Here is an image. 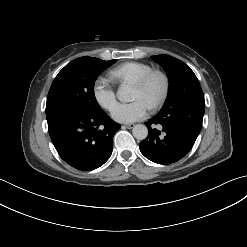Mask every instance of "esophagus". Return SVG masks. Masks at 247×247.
Masks as SVG:
<instances>
[{"label":"esophagus","instance_id":"34e87169","mask_svg":"<svg viewBox=\"0 0 247 247\" xmlns=\"http://www.w3.org/2000/svg\"><path fill=\"white\" fill-rule=\"evenodd\" d=\"M135 125L134 124H125L123 125L124 128H127V129H132Z\"/></svg>","mask_w":247,"mask_h":247}]
</instances>
